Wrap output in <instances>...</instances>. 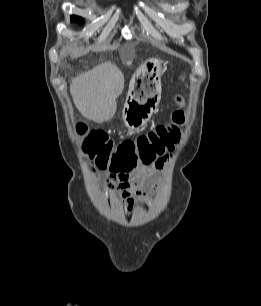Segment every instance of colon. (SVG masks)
Returning a JSON list of instances; mask_svg holds the SVG:
<instances>
[{"mask_svg": "<svg viewBox=\"0 0 261 306\" xmlns=\"http://www.w3.org/2000/svg\"><path fill=\"white\" fill-rule=\"evenodd\" d=\"M178 108L172 113V122L158 125L135 139L114 143L103 131L76 126L82 153L97 168L112 171H131L140 166H150L178 143L186 121L183 99L176 97Z\"/></svg>", "mask_w": 261, "mask_h": 306, "instance_id": "obj_1", "label": "colon"}]
</instances>
